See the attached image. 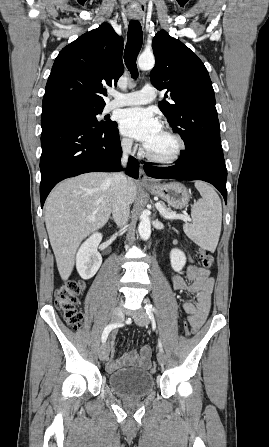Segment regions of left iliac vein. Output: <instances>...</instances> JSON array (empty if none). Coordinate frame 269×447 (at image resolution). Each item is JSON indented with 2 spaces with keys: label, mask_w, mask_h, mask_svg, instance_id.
<instances>
[{
  "label": "left iliac vein",
  "mask_w": 269,
  "mask_h": 447,
  "mask_svg": "<svg viewBox=\"0 0 269 447\" xmlns=\"http://www.w3.org/2000/svg\"><path fill=\"white\" fill-rule=\"evenodd\" d=\"M134 321L138 326H145L149 323V316L147 313L143 312L142 310H140L135 316H134ZM157 360L159 362L160 365H165L166 364V355L165 353L160 350L157 354Z\"/></svg>",
  "instance_id": "4c4485c4"
}]
</instances>
